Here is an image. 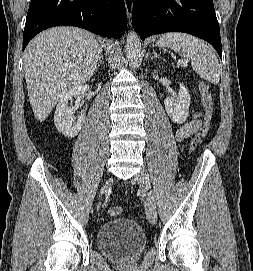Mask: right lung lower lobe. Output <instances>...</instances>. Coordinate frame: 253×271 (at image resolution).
Segmentation results:
<instances>
[{
    "label": "right lung lower lobe",
    "mask_w": 253,
    "mask_h": 271,
    "mask_svg": "<svg viewBox=\"0 0 253 271\" xmlns=\"http://www.w3.org/2000/svg\"><path fill=\"white\" fill-rule=\"evenodd\" d=\"M72 25L106 37L120 38L126 30L124 0H31L23 33V50L39 32Z\"/></svg>",
    "instance_id": "98d812e1"
}]
</instances>
